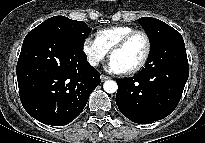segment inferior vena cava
Masks as SVG:
<instances>
[{"label":"inferior vena cava","instance_id":"602c4592","mask_svg":"<svg viewBox=\"0 0 205 143\" xmlns=\"http://www.w3.org/2000/svg\"><path fill=\"white\" fill-rule=\"evenodd\" d=\"M89 63L92 65V66H96L98 64V60L96 59H90L89 60Z\"/></svg>","mask_w":205,"mask_h":143}]
</instances>
